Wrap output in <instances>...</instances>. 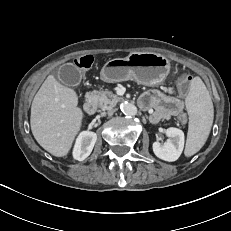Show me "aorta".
Wrapping results in <instances>:
<instances>
[{
	"mask_svg": "<svg viewBox=\"0 0 231 231\" xmlns=\"http://www.w3.org/2000/svg\"><path fill=\"white\" fill-rule=\"evenodd\" d=\"M120 109L125 115L133 116L137 114V107L132 103L123 102Z\"/></svg>",
	"mask_w": 231,
	"mask_h": 231,
	"instance_id": "1",
	"label": "aorta"
}]
</instances>
